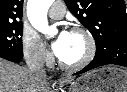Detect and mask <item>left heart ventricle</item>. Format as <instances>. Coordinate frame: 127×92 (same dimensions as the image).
<instances>
[{"mask_svg": "<svg viewBox=\"0 0 127 92\" xmlns=\"http://www.w3.org/2000/svg\"><path fill=\"white\" fill-rule=\"evenodd\" d=\"M87 52V41L81 34L70 33V39L64 55L60 58L65 63L80 61Z\"/></svg>", "mask_w": 127, "mask_h": 92, "instance_id": "left-heart-ventricle-1", "label": "left heart ventricle"}]
</instances>
